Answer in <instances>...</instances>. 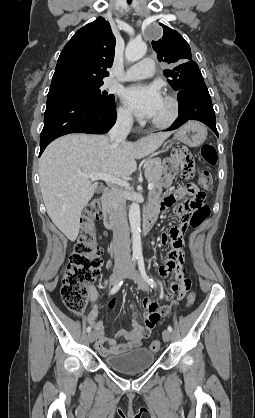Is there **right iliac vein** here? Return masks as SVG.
Listing matches in <instances>:
<instances>
[{
    "mask_svg": "<svg viewBox=\"0 0 255 418\" xmlns=\"http://www.w3.org/2000/svg\"><path fill=\"white\" fill-rule=\"evenodd\" d=\"M126 272V269L124 267H117L115 268L111 278H110V283L112 285H116L118 282L121 281V279L124 277ZM88 340L90 343H92L95 340V334L94 332H90L88 334Z\"/></svg>",
    "mask_w": 255,
    "mask_h": 418,
    "instance_id": "right-iliac-vein-1",
    "label": "right iliac vein"
}]
</instances>
